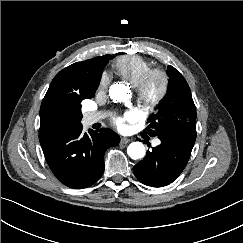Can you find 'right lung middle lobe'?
<instances>
[{
    "mask_svg": "<svg viewBox=\"0 0 243 243\" xmlns=\"http://www.w3.org/2000/svg\"><path fill=\"white\" fill-rule=\"evenodd\" d=\"M113 57L111 56V55H106V58H105V60L103 61V68H104V66L106 65V63L110 60V59H112ZM77 112H78V115H79V121H81V118H82V115H81V105H80V103L78 104V106H77Z\"/></svg>",
    "mask_w": 243,
    "mask_h": 243,
    "instance_id": "1",
    "label": "right lung middle lobe"
}]
</instances>
